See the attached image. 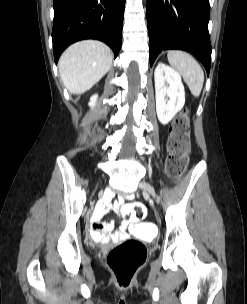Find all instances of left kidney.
<instances>
[{
	"mask_svg": "<svg viewBox=\"0 0 247 304\" xmlns=\"http://www.w3.org/2000/svg\"><path fill=\"white\" fill-rule=\"evenodd\" d=\"M154 80L157 116L162 124H167L184 106V86L179 73L162 62H159L155 69ZM165 83L169 84V87Z\"/></svg>",
	"mask_w": 247,
	"mask_h": 304,
	"instance_id": "left-kidney-1",
	"label": "left kidney"
}]
</instances>
